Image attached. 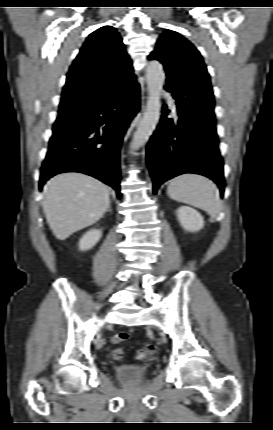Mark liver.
<instances>
[{"instance_id":"obj_1","label":"liver","mask_w":273,"mask_h":430,"mask_svg":"<svg viewBox=\"0 0 273 430\" xmlns=\"http://www.w3.org/2000/svg\"><path fill=\"white\" fill-rule=\"evenodd\" d=\"M43 194L46 220L59 240L91 226L110 206L107 186L78 172L52 177L44 186Z\"/></svg>"}]
</instances>
